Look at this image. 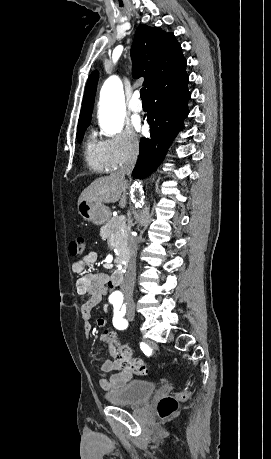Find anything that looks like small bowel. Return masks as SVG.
<instances>
[{
	"label": "small bowel",
	"mask_w": 271,
	"mask_h": 459,
	"mask_svg": "<svg viewBox=\"0 0 271 459\" xmlns=\"http://www.w3.org/2000/svg\"><path fill=\"white\" fill-rule=\"evenodd\" d=\"M98 254L94 251L87 253L82 258L76 260L72 264L73 272L79 275L76 282V290L79 295H87V300L81 306V315L84 321L83 329L87 338L91 336L92 324L91 313L93 308L101 301L107 293L109 278L104 273L86 272L85 269L89 265L96 263ZM96 325L100 328L105 327L106 317L101 316L96 320ZM101 340L106 342V337L103 335ZM102 375L99 381L100 387L105 391H110L123 387L133 374L129 370L121 367L116 360H107L101 366Z\"/></svg>",
	"instance_id": "1"
}]
</instances>
